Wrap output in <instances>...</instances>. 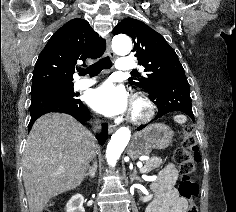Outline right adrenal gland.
Masks as SVG:
<instances>
[{"label": "right adrenal gland", "instance_id": "obj_1", "mask_svg": "<svg viewBox=\"0 0 236 212\" xmlns=\"http://www.w3.org/2000/svg\"><path fill=\"white\" fill-rule=\"evenodd\" d=\"M96 171H97V165H96V162L93 164L92 167H90L88 173L85 174V178H94L95 177V174H96Z\"/></svg>", "mask_w": 236, "mask_h": 212}]
</instances>
